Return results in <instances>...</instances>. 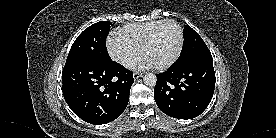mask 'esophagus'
Listing matches in <instances>:
<instances>
[{
    "mask_svg": "<svg viewBox=\"0 0 276 138\" xmlns=\"http://www.w3.org/2000/svg\"><path fill=\"white\" fill-rule=\"evenodd\" d=\"M142 77V73H139V72H135L133 73V78L136 80L138 78Z\"/></svg>",
    "mask_w": 276,
    "mask_h": 138,
    "instance_id": "esophagus-1",
    "label": "esophagus"
}]
</instances>
